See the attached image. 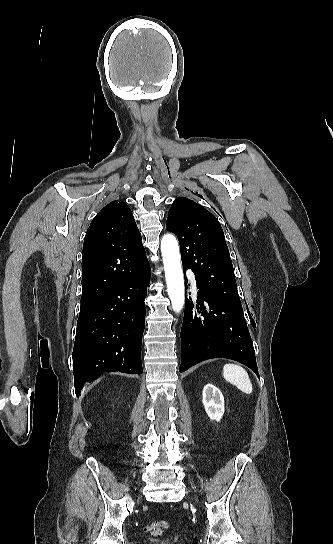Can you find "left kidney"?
<instances>
[{
  "mask_svg": "<svg viewBox=\"0 0 333 544\" xmlns=\"http://www.w3.org/2000/svg\"><path fill=\"white\" fill-rule=\"evenodd\" d=\"M202 402L208 417L211 420L220 421L224 414V397L221 391L213 384L205 385Z\"/></svg>",
  "mask_w": 333,
  "mask_h": 544,
  "instance_id": "left-kidney-1",
  "label": "left kidney"
}]
</instances>
